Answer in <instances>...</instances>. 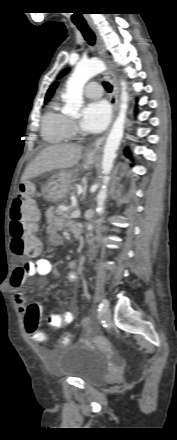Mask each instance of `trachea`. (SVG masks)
Returning a JSON list of instances; mask_svg holds the SVG:
<instances>
[{"label": "trachea", "mask_w": 177, "mask_h": 440, "mask_svg": "<svg viewBox=\"0 0 177 440\" xmlns=\"http://www.w3.org/2000/svg\"><path fill=\"white\" fill-rule=\"evenodd\" d=\"M75 25L81 31L84 39L88 42V44L93 46L95 44V34L87 25V23H75ZM103 84L108 92L112 91V86L108 82H104Z\"/></svg>", "instance_id": "trachea-1"}]
</instances>
